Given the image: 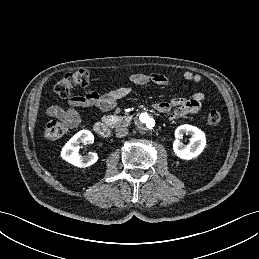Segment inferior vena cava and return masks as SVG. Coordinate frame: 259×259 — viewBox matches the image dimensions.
I'll return each mask as SVG.
<instances>
[{
  "instance_id": "inferior-vena-cava-1",
  "label": "inferior vena cava",
  "mask_w": 259,
  "mask_h": 259,
  "mask_svg": "<svg viewBox=\"0 0 259 259\" xmlns=\"http://www.w3.org/2000/svg\"><path fill=\"white\" fill-rule=\"evenodd\" d=\"M128 134V129L123 127V128H118L116 129V137L117 138H122Z\"/></svg>"
}]
</instances>
